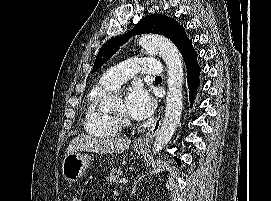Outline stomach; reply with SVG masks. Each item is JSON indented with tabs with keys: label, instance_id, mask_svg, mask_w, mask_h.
<instances>
[{
	"label": "stomach",
	"instance_id": "stomach-1",
	"mask_svg": "<svg viewBox=\"0 0 271 201\" xmlns=\"http://www.w3.org/2000/svg\"><path fill=\"white\" fill-rule=\"evenodd\" d=\"M146 146H134V151L141 154ZM91 157L80 152L71 153L65 156L62 163V175L69 182H76L84 176L89 168Z\"/></svg>",
	"mask_w": 271,
	"mask_h": 201
}]
</instances>
